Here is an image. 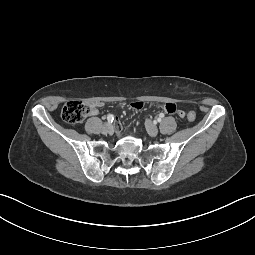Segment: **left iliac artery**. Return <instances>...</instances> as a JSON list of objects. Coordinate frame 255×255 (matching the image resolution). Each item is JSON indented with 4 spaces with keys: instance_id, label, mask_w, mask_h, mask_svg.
Returning a JSON list of instances; mask_svg holds the SVG:
<instances>
[{
    "instance_id": "left-iliac-artery-1",
    "label": "left iliac artery",
    "mask_w": 255,
    "mask_h": 255,
    "mask_svg": "<svg viewBox=\"0 0 255 255\" xmlns=\"http://www.w3.org/2000/svg\"><path fill=\"white\" fill-rule=\"evenodd\" d=\"M160 121H161V119L158 118V122H160Z\"/></svg>"
}]
</instances>
